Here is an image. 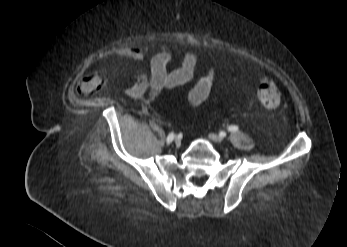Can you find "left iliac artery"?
Listing matches in <instances>:
<instances>
[{"label": "left iliac artery", "mask_w": 347, "mask_h": 247, "mask_svg": "<svg viewBox=\"0 0 347 247\" xmlns=\"http://www.w3.org/2000/svg\"><path fill=\"white\" fill-rule=\"evenodd\" d=\"M228 130H229L230 132H237V131L239 130V127L236 126V125H231V126L228 127ZM222 135H223V134H222Z\"/></svg>", "instance_id": "left-iliac-artery-1"}]
</instances>
